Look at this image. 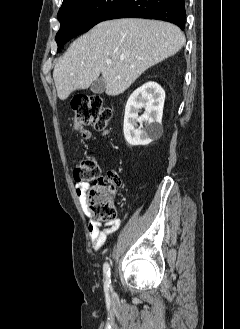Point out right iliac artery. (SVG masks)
Returning a JSON list of instances; mask_svg holds the SVG:
<instances>
[{
  "instance_id": "right-iliac-artery-1",
  "label": "right iliac artery",
  "mask_w": 240,
  "mask_h": 329,
  "mask_svg": "<svg viewBox=\"0 0 240 329\" xmlns=\"http://www.w3.org/2000/svg\"><path fill=\"white\" fill-rule=\"evenodd\" d=\"M103 272H104V286L108 289L111 284V279H110V265L108 262H105L103 265Z\"/></svg>"
}]
</instances>
